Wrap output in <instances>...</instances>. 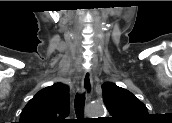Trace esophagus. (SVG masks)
<instances>
[{
  "label": "esophagus",
  "instance_id": "34e87169",
  "mask_svg": "<svg viewBox=\"0 0 172 123\" xmlns=\"http://www.w3.org/2000/svg\"><path fill=\"white\" fill-rule=\"evenodd\" d=\"M93 90V81L90 71H86L81 82V91L85 93L87 98H90Z\"/></svg>",
  "mask_w": 172,
  "mask_h": 123
}]
</instances>
